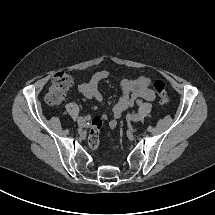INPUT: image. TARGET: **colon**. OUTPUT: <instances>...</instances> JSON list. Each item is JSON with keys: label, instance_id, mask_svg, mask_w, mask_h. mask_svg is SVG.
Masks as SVG:
<instances>
[{"label": "colon", "instance_id": "obj_1", "mask_svg": "<svg viewBox=\"0 0 215 215\" xmlns=\"http://www.w3.org/2000/svg\"><path fill=\"white\" fill-rule=\"evenodd\" d=\"M73 78L65 72L57 73L53 79L52 84L46 94L45 100L49 105L60 104L66 92L71 88ZM154 90L156 91L161 103L166 104L169 102V93L165 83L161 80H156L153 83ZM101 128V120L94 118L91 123V129L88 136V144L91 149H96L99 145V132Z\"/></svg>", "mask_w": 215, "mask_h": 215}]
</instances>
